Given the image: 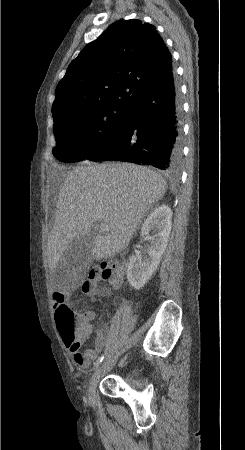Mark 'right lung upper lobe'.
<instances>
[{"label":"right lung upper lobe","mask_w":245,"mask_h":450,"mask_svg":"<svg viewBox=\"0 0 245 450\" xmlns=\"http://www.w3.org/2000/svg\"><path fill=\"white\" fill-rule=\"evenodd\" d=\"M171 54L155 27L120 20L89 43L56 87L52 113L131 104L172 70Z\"/></svg>","instance_id":"obj_1"}]
</instances>
